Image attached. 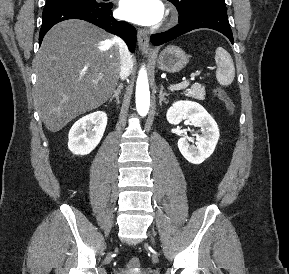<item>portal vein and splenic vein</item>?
I'll list each match as a JSON object with an SVG mask.
<instances>
[{
  "instance_id": "18ae733b",
  "label": "portal vein and splenic vein",
  "mask_w": 289,
  "mask_h": 274,
  "mask_svg": "<svg viewBox=\"0 0 289 274\" xmlns=\"http://www.w3.org/2000/svg\"><path fill=\"white\" fill-rule=\"evenodd\" d=\"M188 85H189L188 81H183V82L178 83V84H176L174 86H171L169 89L170 90H180L182 88H186Z\"/></svg>"
}]
</instances>
